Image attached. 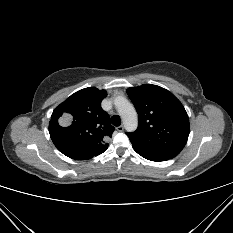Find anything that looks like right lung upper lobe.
Wrapping results in <instances>:
<instances>
[{"instance_id": "cb5924a9", "label": "right lung upper lobe", "mask_w": 233, "mask_h": 233, "mask_svg": "<svg viewBox=\"0 0 233 233\" xmlns=\"http://www.w3.org/2000/svg\"><path fill=\"white\" fill-rule=\"evenodd\" d=\"M106 96L105 90L85 88L53 111L49 133L60 152L72 159L86 160L106 151L114 131L109 115L101 108Z\"/></svg>"}]
</instances>
